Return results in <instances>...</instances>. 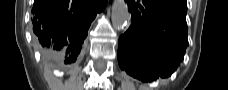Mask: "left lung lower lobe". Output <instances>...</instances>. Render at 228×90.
<instances>
[{
    "label": "left lung lower lobe",
    "instance_id": "1",
    "mask_svg": "<svg viewBox=\"0 0 228 90\" xmlns=\"http://www.w3.org/2000/svg\"><path fill=\"white\" fill-rule=\"evenodd\" d=\"M131 26L118 43V63L148 82L168 77L183 61L187 39L186 0H125Z\"/></svg>",
    "mask_w": 228,
    "mask_h": 90
}]
</instances>
